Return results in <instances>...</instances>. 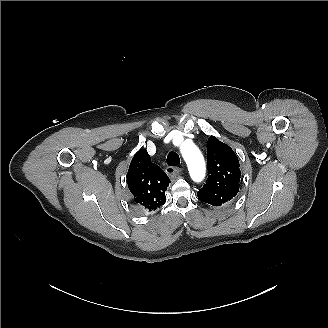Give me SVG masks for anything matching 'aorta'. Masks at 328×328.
I'll return each mask as SVG.
<instances>
[{"instance_id": "1", "label": "aorta", "mask_w": 328, "mask_h": 328, "mask_svg": "<svg viewBox=\"0 0 328 328\" xmlns=\"http://www.w3.org/2000/svg\"><path fill=\"white\" fill-rule=\"evenodd\" d=\"M180 151L187 164L192 180L201 182L205 177L206 167L200 150L189 140L182 143Z\"/></svg>"}]
</instances>
